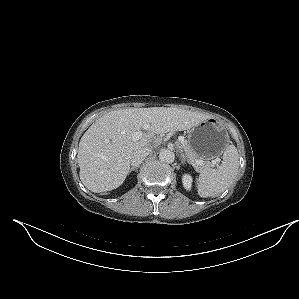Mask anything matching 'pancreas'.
Returning <instances> with one entry per match:
<instances>
[{"label": "pancreas", "instance_id": "pancreas-1", "mask_svg": "<svg viewBox=\"0 0 299 299\" xmlns=\"http://www.w3.org/2000/svg\"><path fill=\"white\" fill-rule=\"evenodd\" d=\"M181 147L185 151V155L187 159L195 165L197 168H201L199 165L194 164L197 160H201V158L198 156V154L191 148L189 143L186 141L184 144L181 145ZM199 166V167H198Z\"/></svg>", "mask_w": 299, "mask_h": 299}]
</instances>
